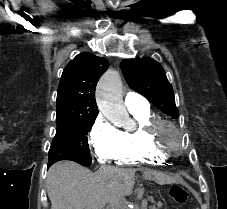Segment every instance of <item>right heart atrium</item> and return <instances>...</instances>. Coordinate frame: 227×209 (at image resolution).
<instances>
[{"instance_id": "1", "label": "right heart atrium", "mask_w": 227, "mask_h": 209, "mask_svg": "<svg viewBox=\"0 0 227 209\" xmlns=\"http://www.w3.org/2000/svg\"><path fill=\"white\" fill-rule=\"evenodd\" d=\"M96 158L100 162L114 158L120 143L121 131L104 117L99 116L90 132Z\"/></svg>"}]
</instances>
